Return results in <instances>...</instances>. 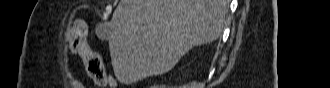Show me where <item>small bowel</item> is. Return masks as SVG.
Instances as JSON below:
<instances>
[{
	"label": "small bowel",
	"mask_w": 330,
	"mask_h": 88,
	"mask_svg": "<svg viewBox=\"0 0 330 88\" xmlns=\"http://www.w3.org/2000/svg\"><path fill=\"white\" fill-rule=\"evenodd\" d=\"M79 25L82 27V30H83V34H84V31H85V26L83 23H79Z\"/></svg>",
	"instance_id": "obj_1"
}]
</instances>
